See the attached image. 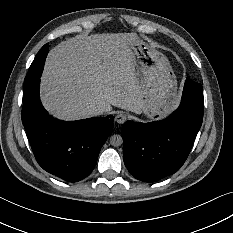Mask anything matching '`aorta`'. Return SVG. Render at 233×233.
Instances as JSON below:
<instances>
[{"instance_id": "obj_1", "label": "aorta", "mask_w": 233, "mask_h": 233, "mask_svg": "<svg viewBox=\"0 0 233 233\" xmlns=\"http://www.w3.org/2000/svg\"><path fill=\"white\" fill-rule=\"evenodd\" d=\"M109 141H110V144L115 147H118L123 143L122 137L118 134L112 135Z\"/></svg>"}]
</instances>
